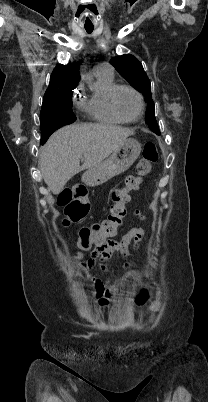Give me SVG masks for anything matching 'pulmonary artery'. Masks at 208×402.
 Wrapping results in <instances>:
<instances>
[{
  "mask_svg": "<svg viewBox=\"0 0 208 402\" xmlns=\"http://www.w3.org/2000/svg\"><path fill=\"white\" fill-rule=\"evenodd\" d=\"M94 72L99 73V74H103V75L111 77V78L114 77V71H113L112 67L108 63H103V64L96 65L94 67Z\"/></svg>",
  "mask_w": 208,
  "mask_h": 402,
  "instance_id": "1",
  "label": "pulmonary artery"
}]
</instances>
